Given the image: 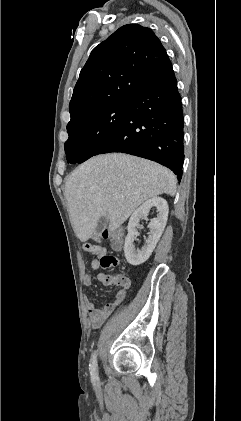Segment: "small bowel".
Segmentation results:
<instances>
[{"instance_id": "c3829d8e", "label": "small bowel", "mask_w": 241, "mask_h": 421, "mask_svg": "<svg viewBox=\"0 0 241 421\" xmlns=\"http://www.w3.org/2000/svg\"><path fill=\"white\" fill-rule=\"evenodd\" d=\"M86 251V250H85ZM91 256V268L96 270L100 267V260L102 257L107 255V251L102 246H97L95 251H86ZM98 280L103 284H115L114 281H107L103 274L98 275ZM83 284L86 287H91L93 285L92 277L86 275L83 279ZM122 286V289L118 291L115 299L112 302L106 303L101 307H96L86 295H83V304L87 309V318L90 326L93 329L100 328L107 318L113 313L118 305H120L126 295V289L129 286V281L126 279L125 282L119 283Z\"/></svg>"}]
</instances>
